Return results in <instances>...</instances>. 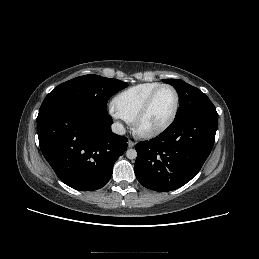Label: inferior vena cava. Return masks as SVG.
<instances>
[{"label": "inferior vena cava", "mask_w": 259, "mask_h": 259, "mask_svg": "<svg viewBox=\"0 0 259 259\" xmlns=\"http://www.w3.org/2000/svg\"><path fill=\"white\" fill-rule=\"evenodd\" d=\"M112 131L115 134L118 135H124L125 134V128L123 127V125L119 122H115L112 124Z\"/></svg>", "instance_id": "inferior-vena-cava-1"}]
</instances>
